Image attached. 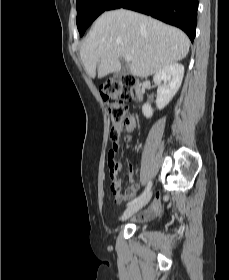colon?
<instances>
[{"mask_svg":"<svg viewBox=\"0 0 229 280\" xmlns=\"http://www.w3.org/2000/svg\"><path fill=\"white\" fill-rule=\"evenodd\" d=\"M135 79L131 76L124 75L117 80L108 81L99 86V92L103 101L109 107L111 119L110 138L112 145L109 151V166L115 163L114 153L120 146V139L124 134L129 133L135 124L134 118L127 115L125 101L133 97Z\"/></svg>","mask_w":229,"mask_h":280,"instance_id":"obj_1","label":"colon"}]
</instances>
